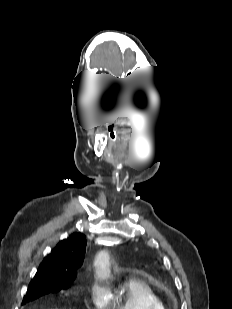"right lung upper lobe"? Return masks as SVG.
<instances>
[{"label": "right lung upper lobe", "mask_w": 232, "mask_h": 309, "mask_svg": "<svg viewBox=\"0 0 232 309\" xmlns=\"http://www.w3.org/2000/svg\"><path fill=\"white\" fill-rule=\"evenodd\" d=\"M86 240L83 234L74 233L58 243L40 264L34 279L47 277L56 280L75 279L82 265Z\"/></svg>", "instance_id": "obj_1"}]
</instances>
